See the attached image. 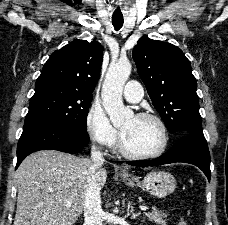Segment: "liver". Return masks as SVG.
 Returning <instances> with one entry per match:
<instances>
[{
    "label": "liver",
    "instance_id": "obj_1",
    "mask_svg": "<svg viewBox=\"0 0 228 225\" xmlns=\"http://www.w3.org/2000/svg\"><path fill=\"white\" fill-rule=\"evenodd\" d=\"M93 165L91 159L60 151H38L26 157L15 173L18 197L14 225H74L84 209ZM101 167L97 169L99 187L106 181Z\"/></svg>",
    "mask_w": 228,
    "mask_h": 225
}]
</instances>
